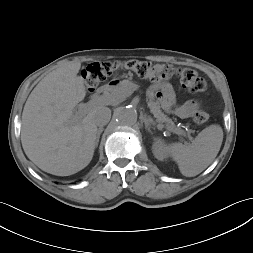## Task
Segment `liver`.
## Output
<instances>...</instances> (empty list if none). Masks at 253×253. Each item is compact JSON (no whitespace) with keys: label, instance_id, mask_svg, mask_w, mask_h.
Segmentation results:
<instances>
[{"label":"liver","instance_id":"liver-1","mask_svg":"<svg viewBox=\"0 0 253 253\" xmlns=\"http://www.w3.org/2000/svg\"><path fill=\"white\" fill-rule=\"evenodd\" d=\"M80 62H68L47 74L29 95L22 113L21 143L27 157L41 170L69 176L84 169L96 146L95 112L77 122L73 109L86 96Z\"/></svg>","mask_w":253,"mask_h":253}]
</instances>
